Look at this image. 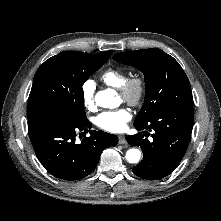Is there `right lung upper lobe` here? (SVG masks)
<instances>
[{"label":"right lung upper lobe","mask_w":221,"mask_h":221,"mask_svg":"<svg viewBox=\"0 0 221 221\" xmlns=\"http://www.w3.org/2000/svg\"><path fill=\"white\" fill-rule=\"evenodd\" d=\"M102 54L107 55L108 57H110V55L112 54V51H107V52H104Z\"/></svg>","instance_id":"right-lung-upper-lobe-1"}]
</instances>
